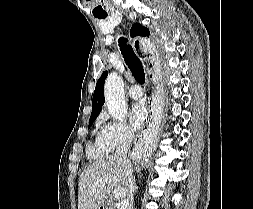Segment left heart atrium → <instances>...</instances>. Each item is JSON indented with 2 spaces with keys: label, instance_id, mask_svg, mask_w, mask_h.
I'll return each instance as SVG.
<instances>
[{
  "label": "left heart atrium",
  "instance_id": "obj_1",
  "mask_svg": "<svg viewBox=\"0 0 253 209\" xmlns=\"http://www.w3.org/2000/svg\"><path fill=\"white\" fill-rule=\"evenodd\" d=\"M148 116L147 108L142 103H137L133 106L130 112V123L134 129H139Z\"/></svg>",
  "mask_w": 253,
  "mask_h": 209
}]
</instances>
